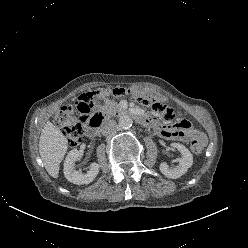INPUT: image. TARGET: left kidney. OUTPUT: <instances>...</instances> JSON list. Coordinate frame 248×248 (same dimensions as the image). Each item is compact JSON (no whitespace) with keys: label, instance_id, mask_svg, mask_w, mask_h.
Listing matches in <instances>:
<instances>
[{"label":"left kidney","instance_id":"1","mask_svg":"<svg viewBox=\"0 0 248 248\" xmlns=\"http://www.w3.org/2000/svg\"><path fill=\"white\" fill-rule=\"evenodd\" d=\"M172 147L176 148L182 155L179 160V165L175 168H170L167 163L163 162L160 164V171L167 178L176 179L184 175L188 168L193 164V155L191 152L180 143H172Z\"/></svg>","mask_w":248,"mask_h":248}]
</instances>
